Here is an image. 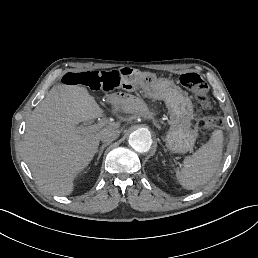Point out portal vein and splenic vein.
Instances as JSON below:
<instances>
[{
  "label": "portal vein and splenic vein",
  "mask_w": 258,
  "mask_h": 258,
  "mask_svg": "<svg viewBox=\"0 0 258 258\" xmlns=\"http://www.w3.org/2000/svg\"><path fill=\"white\" fill-rule=\"evenodd\" d=\"M82 130V128H80ZM88 129L91 131V132H96L100 129V125H92V126H89Z\"/></svg>",
  "instance_id": "1"
}]
</instances>
